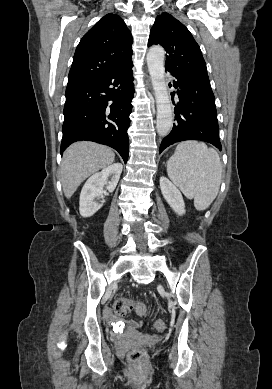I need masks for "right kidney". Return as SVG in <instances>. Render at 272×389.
<instances>
[{"label": "right kidney", "instance_id": "obj_1", "mask_svg": "<svg viewBox=\"0 0 272 389\" xmlns=\"http://www.w3.org/2000/svg\"><path fill=\"white\" fill-rule=\"evenodd\" d=\"M122 168L120 163L112 164L95 173L86 181L79 201V211L82 217L93 216L103 206L104 185H107L106 188L109 192H113L120 179ZM109 176H111L110 181H108Z\"/></svg>", "mask_w": 272, "mask_h": 389}]
</instances>
